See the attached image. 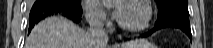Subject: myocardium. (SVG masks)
I'll list each match as a JSON object with an SVG mask.
<instances>
[{
  "label": "myocardium",
  "mask_w": 213,
  "mask_h": 48,
  "mask_svg": "<svg viewBox=\"0 0 213 48\" xmlns=\"http://www.w3.org/2000/svg\"><path fill=\"white\" fill-rule=\"evenodd\" d=\"M127 4H138L142 6L146 11V19L140 26H137V27H129L125 25L121 21V19H119L118 24L121 30L127 33H140L146 30L150 26L152 18H153V9L151 5L149 4V2L146 0H129L127 1Z\"/></svg>",
  "instance_id": "obj_1"
}]
</instances>
